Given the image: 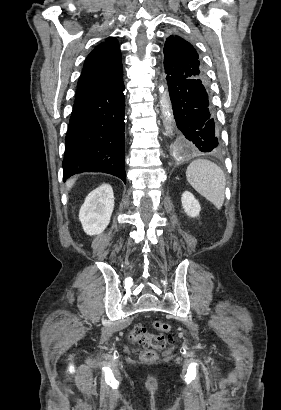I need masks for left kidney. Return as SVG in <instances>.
Here are the masks:
<instances>
[{"label": "left kidney", "instance_id": "1", "mask_svg": "<svg viewBox=\"0 0 281 410\" xmlns=\"http://www.w3.org/2000/svg\"><path fill=\"white\" fill-rule=\"evenodd\" d=\"M181 202H182V206H183L185 213L189 217L194 218V217L199 216L201 207H200L198 200H196V198L191 192L185 191L182 194Z\"/></svg>", "mask_w": 281, "mask_h": 410}]
</instances>
